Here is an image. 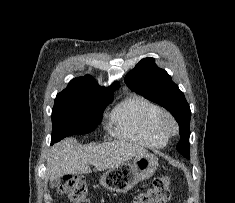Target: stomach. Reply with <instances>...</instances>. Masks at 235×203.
<instances>
[{"instance_id":"stomach-1","label":"stomach","mask_w":235,"mask_h":203,"mask_svg":"<svg viewBox=\"0 0 235 203\" xmlns=\"http://www.w3.org/2000/svg\"><path fill=\"white\" fill-rule=\"evenodd\" d=\"M158 167V159L148 153L136 155L133 164L123 163L109 169L100 178V184L109 191L125 193L138 182L149 179Z\"/></svg>"}]
</instances>
